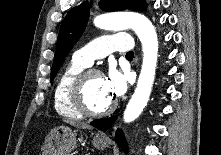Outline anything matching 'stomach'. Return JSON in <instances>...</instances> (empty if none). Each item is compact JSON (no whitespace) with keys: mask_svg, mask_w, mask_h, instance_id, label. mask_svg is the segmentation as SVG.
I'll return each mask as SVG.
<instances>
[{"mask_svg":"<svg viewBox=\"0 0 221 155\" xmlns=\"http://www.w3.org/2000/svg\"><path fill=\"white\" fill-rule=\"evenodd\" d=\"M77 132L67 126H59L51 130L41 148L42 155H70L77 146ZM95 148L103 150L107 147V139L96 134L92 139Z\"/></svg>","mask_w":221,"mask_h":155,"instance_id":"stomach-1","label":"stomach"}]
</instances>
